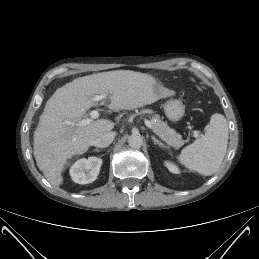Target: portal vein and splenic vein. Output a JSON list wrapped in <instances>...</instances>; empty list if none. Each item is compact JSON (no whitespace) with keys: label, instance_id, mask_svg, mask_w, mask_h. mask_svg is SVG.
I'll list each match as a JSON object with an SVG mask.
<instances>
[{"label":"portal vein and splenic vein","instance_id":"1","mask_svg":"<svg viewBox=\"0 0 259 259\" xmlns=\"http://www.w3.org/2000/svg\"><path fill=\"white\" fill-rule=\"evenodd\" d=\"M106 96H107V94L95 95V96L93 97V100H94V101H101L102 99L106 98ZM98 117H99V112H98L97 110H92V111L90 112V118L82 119V120L78 123V125H80V126H86V125L90 124L91 122H93V120L96 119V118H98ZM144 122H145V125H146L149 129H151V130H153V131L155 132L154 127H153L152 123H151L149 120L145 119Z\"/></svg>","mask_w":259,"mask_h":259}]
</instances>
